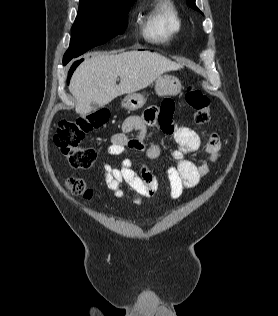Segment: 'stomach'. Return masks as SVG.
Segmentation results:
<instances>
[{
	"label": "stomach",
	"mask_w": 278,
	"mask_h": 316,
	"mask_svg": "<svg viewBox=\"0 0 278 316\" xmlns=\"http://www.w3.org/2000/svg\"><path fill=\"white\" fill-rule=\"evenodd\" d=\"M181 89L180 80L171 75L159 76L155 81V91L158 96L176 95ZM145 104V98L138 93H132L126 95L121 101L123 108L128 110H137L143 107Z\"/></svg>",
	"instance_id": "stomach-1"
}]
</instances>
